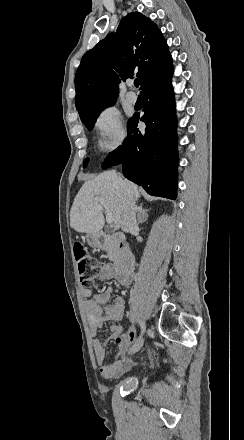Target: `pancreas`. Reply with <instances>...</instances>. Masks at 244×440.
I'll return each instance as SVG.
<instances>
[{"label":"pancreas","instance_id":"obj_1","mask_svg":"<svg viewBox=\"0 0 244 440\" xmlns=\"http://www.w3.org/2000/svg\"><path fill=\"white\" fill-rule=\"evenodd\" d=\"M105 250L110 262H118L120 256V242L118 240H108L105 244Z\"/></svg>","mask_w":244,"mask_h":440}]
</instances>
